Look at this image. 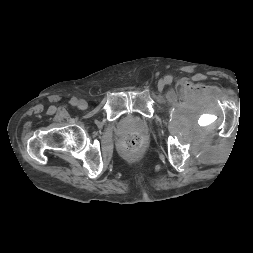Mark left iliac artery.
<instances>
[{
    "label": "left iliac artery",
    "mask_w": 253,
    "mask_h": 253,
    "mask_svg": "<svg viewBox=\"0 0 253 253\" xmlns=\"http://www.w3.org/2000/svg\"><path fill=\"white\" fill-rule=\"evenodd\" d=\"M165 80H166V83H167V84H169V83L172 82V78H171L170 76H167V77L165 78Z\"/></svg>",
    "instance_id": "1"
}]
</instances>
